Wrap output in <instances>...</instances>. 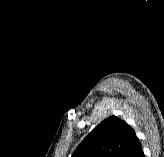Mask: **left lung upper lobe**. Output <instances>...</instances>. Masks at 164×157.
<instances>
[{
  "label": "left lung upper lobe",
  "instance_id": "1",
  "mask_svg": "<svg viewBox=\"0 0 164 157\" xmlns=\"http://www.w3.org/2000/svg\"><path fill=\"white\" fill-rule=\"evenodd\" d=\"M135 138L134 130L125 121L113 115L95 127L71 157H125Z\"/></svg>",
  "mask_w": 164,
  "mask_h": 157
}]
</instances>
